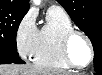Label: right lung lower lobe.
Here are the masks:
<instances>
[{"instance_id":"right-lung-lower-lobe-1","label":"right lung lower lobe","mask_w":102,"mask_h":75,"mask_svg":"<svg viewBox=\"0 0 102 75\" xmlns=\"http://www.w3.org/2000/svg\"><path fill=\"white\" fill-rule=\"evenodd\" d=\"M8 63L23 64L25 62L16 54H1L0 64H8Z\"/></svg>"}]
</instances>
